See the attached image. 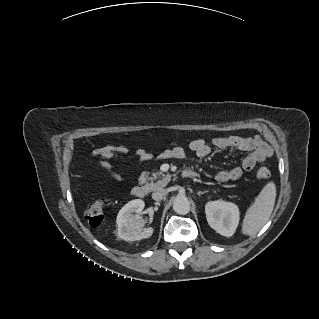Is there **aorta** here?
Wrapping results in <instances>:
<instances>
[{"instance_id":"1","label":"aorta","mask_w":319,"mask_h":319,"mask_svg":"<svg viewBox=\"0 0 319 319\" xmlns=\"http://www.w3.org/2000/svg\"><path fill=\"white\" fill-rule=\"evenodd\" d=\"M173 209L179 215H186L190 211V202L184 194H178L173 201Z\"/></svg>"}]
</instances>
